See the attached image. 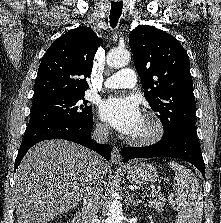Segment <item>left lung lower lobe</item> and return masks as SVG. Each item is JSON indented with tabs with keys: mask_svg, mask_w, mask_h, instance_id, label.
<instances>
[{
	"mask_svg": "<svg viewBox=\"0 0 221 223\" xmlns=\"http://www.w3.org/2000/svg\"><path fill=\"white\" fill-rule=\"evenodd\" d=\"M125 158L175 157L196 166L205 175V164L198 143L196 128H180L173 134L162 138L159 142L146 147H125L121 150Z\"/></svg>",
	"mask_w": 221,
	"mask_h": 223,
	"instance_id": "1",
	"label": "left lung lower lobe"
}]
</instances>
